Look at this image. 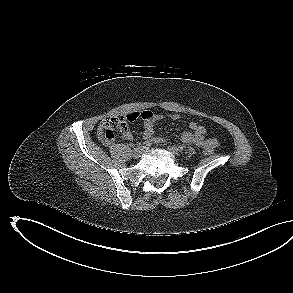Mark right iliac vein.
Instances as JSON below:
<instances>
[{
    "mask_svg": "<svg viewBox=\"0 0 293 293\" xmlns=\"http://www.w3.org/2000/svg\"><path fill=\"white\" fill-rule=\"evenodd\" d=\"M144 152V147L143 146H138L136 147L133 152H132V156L134 158H139L141 156V154Z\"/></svg>",
    "mask_w": 293,
    "mask_h": 293,
    "instance_id": "1",
    "label": "right iliac vein"
}]
</instances>
